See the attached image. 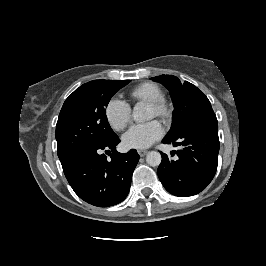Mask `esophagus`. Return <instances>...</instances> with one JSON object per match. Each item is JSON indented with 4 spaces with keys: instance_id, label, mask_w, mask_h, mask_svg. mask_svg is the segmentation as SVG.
Wrapping results in <instances>:
<instances>
[{
    "instance_id": "1",
    "label": "esophagus",
    "mask_w": 266,
    "mask_h": 266,
    "mask_svg": "<svg viewBox=\"0 0 266 266\" xmlns=\"http://www.w3.org/2000/svg\"><path fill=\"white\" fill-rule=\"evenodd\" d=\"M140 157H144L147 154V150H138L137 151Z\"/></svg>"
}]
</instances>
